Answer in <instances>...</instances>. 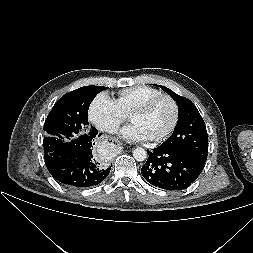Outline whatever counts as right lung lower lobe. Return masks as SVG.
Here are the masks:
<instances>
[{
  "label": "right lung lower lobe",
  "instance_id": "1",
  "mask_svg": "<svg viewBox=\"0 0 253 253\" xmlns=\"http://www.w3.org/2000/svg\"><path fill=\"white\" fill-rule=\"evenodd\" d=\"M98 130L71 141L58 140L44 147L45 164L49 173L61 184L86 188L100 184L110 173V166L97 153ZM46 146V144H45Z\"/></svg>",
  "mask_w": 253,
  "mask_h": 253
}]
</instances>
